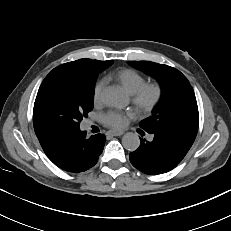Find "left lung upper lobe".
Here are the masks:
<instances>
[{"instance_id":"left-lung-upper-lobe-1","label":"left lung upper lobe","mask_w":231,"mask_h":231,"mask_svg":"<svg viewBox=\"0 0 231 231\" xmlns=\"http://www.w3.org/2000/svg\"><path fill=\"white\" fill-rule=\"evenodd\" d=\"M161 84L162 95L152 116L140 127L146 132H165L195 139L199 113L196 97L187 78L177 69L150 61H128Z\"/></svg>"}]
</instances>
